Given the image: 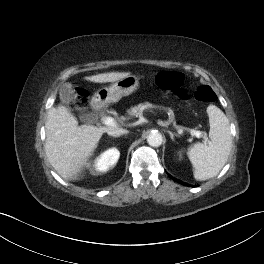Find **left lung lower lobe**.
Instances as JSON below:
<instances>
[{"label": "left lung lower lobe", "instance_id": "left-lung-lower-lobe-1", "mask_svg": "<svg viewBox=\"0 0 264 264\" xmlns=\"http://www.w3.org/2000/svg\"><path fill=\"white\" fill-rule=\"evenodd\" d=\"M170 176V175H169ZM171 177V176H170ZM174 181H177L175 178H173V177H171ZM179 183H182V182H180V181H178ZM183 184V183H182Z\"/></svg>", "mask_w": 264, "mask_h": 264}]
</instances>
